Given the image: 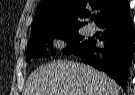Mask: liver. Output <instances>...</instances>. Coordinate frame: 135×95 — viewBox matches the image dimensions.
<instances>
[{
  "instance_id": "obj_1",
  "label": "liver",
  "mask_w": 135,
  "mask_h": 95,
  "mask_svg": "<svg viewBox=\"0 0 135 95\" xmlns=\"http://www.w3.org/2000/svg\"><path fill=\"white\" fill-rule=\"evenodd\" d=\"M120 87L104 72L70 61H57L30 74L23 95H119Z\"/></svg>"
}]
</instances>
